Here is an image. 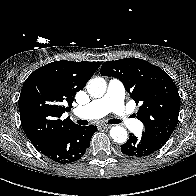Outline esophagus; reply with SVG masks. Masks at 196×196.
Segmentation results:
<instances>
[{"label":"esophagus","mask_w":196,"mask_h":196,"mask_svg":"<svg viewBox=\"0 0 196 196\" xmlns=\"http://www.w3.org/2000/svg\"><path fill=\"white\" fill-rule=\"evenodd\" d=\"M101 126H102V128H104V129H109V128L112 127V125H110V124H101Z\"/></svg>","instance_id":"obj_1"}]
</instances>
